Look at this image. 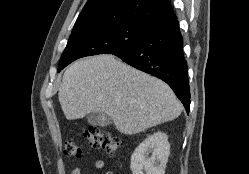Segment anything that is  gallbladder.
Instances as JSON below:
<instances>
[{"mask_svg":"<svg viewBox=\"0 0 249 174\" xmlns=\"http://www.w3.org/2000/svg\"><path fill=\"white\" fill-rule=\"evenodd\" d=\"M88 122L95 126H107L110 125L111 119L108 115L103 113H91L88 116Z\"/></svg>","mask_w":249,"mask_h":174,"instance_id":"1","label":"gallbladder"}]
</instances>
